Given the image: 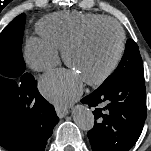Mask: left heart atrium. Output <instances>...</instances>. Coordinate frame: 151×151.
<instances>
[{
	"label": "left heart atrium",
	"instance_id": "obj_1",
	"mask_svg": "<svg viewBox=\"0 0 151 151\" xmlns=\"http://www.w3.org/2000/svg\"><path fill=\"white\" fill-rule=\"evenodd\" d=\"M83 80L71 70H54L40 80L44 96L59 107H65L82 92Z\"/></svg>",
	"mask_w": 151,
	"mask_h": 151
}]
</instances>
